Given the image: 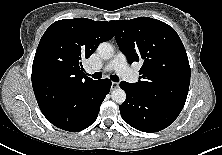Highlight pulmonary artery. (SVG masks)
<instances>
[{"instance_id":"pulmonary-artery-1","label":"pulmonary artery","mask_w":222,"mask_h":155,"mask_svg":"<svg viewBox=\"0 0 222 155\" xmlns=\"http://www.w3.org/2000/svg\"><path fill=\"white\" fill-rule=\"evenodd\" d=\"M92 72L93 70H89ZM103 71H115L119 76L128 82H136L138 76L127 65L126 57L123 53L118 52L115 56L104 66Z\"/></svg>"}]
</instances>
